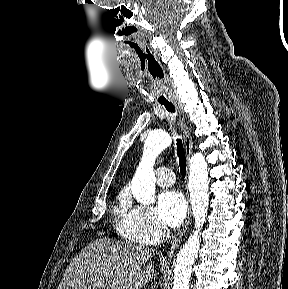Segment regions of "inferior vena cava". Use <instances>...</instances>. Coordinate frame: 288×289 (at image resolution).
Instances as JSON below:
<instances>
[{"mask_svg": "<svg viewBox=\"0 0 288 289\" xmlns=\"http://www.w3.org/2000/svg\"><path fill=\"white\" fill-rule=\"evenodd\" d=\"M169 235H170L169 230L166 229V230L164 231V236H165V237H169Z\"/></svg>", "mask_w": 288, "mask_h": 289, "instance_id": "obj_1", "label": "inferior vena cava"}]
</instances>
